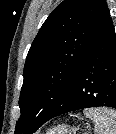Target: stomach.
<instances>
[{
  "instance_id": "obj_1",
  "label": "stomach",
  "mask_w": 116,
  "mask_h": 134,
  "mask_svg": "<svg viewBox=\"0 0 116 134\" xmlns=\"http://www.w3.org/2000/svg\"><path fill=\"white\" fill-rule=\"evenodd\" d=\"M72 130L66 125H59L51 130H49L46 134H71Z\"/></svg>"
}]
</instances>
